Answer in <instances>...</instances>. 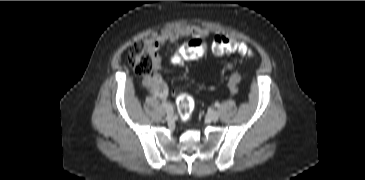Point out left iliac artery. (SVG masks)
<instances>
[{"mask_svg":"<svg viewBox=\"0 0 365 180\" xmlns=\"http://www.w3.org/2000/svg\"><path fill=\"white\" fill-rule=\"evenodd\" d=\"M215 106L218 108L220 106V104L218 102H216Z\"/></svg>","mask_w":365,"mask_h":180,"instance_id":"44dca946","label":"left iliac artery"}]
</instances>
